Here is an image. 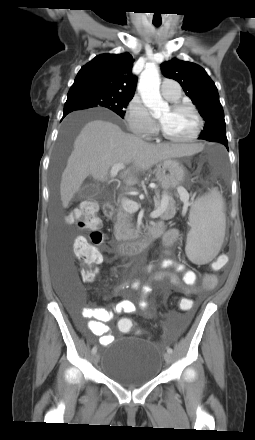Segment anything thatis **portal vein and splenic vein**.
<instances>
[{
  "label": "portal vein and splenic vein",
  "instance_id": "18ae733b",
  "mask_svg": "<svg viewBox=\"0 0 255 440\" xmlns=\"http://www.w3.org/2000/svg\"><path fill=\"white\" fill-rule=\"evenodd\" d=\"M124 168H125V165L122 164V163L115 164V165L111 168L110 176H111L112 178L116 177V175L118 174V172H119L120 170L124 169ZM121 204H122L123 209H124L125 211L129 212V213H134V212L138 211V210H139V207H140V205H139L137 202H135V201H133V200H130V199H128V198H125V197L121 199ZM163 211H164V206L161 207V208H157V209H155V210L150 214V216H151V218H157V217H159V216L162 214Z\"/></svg>",
  "mask_w": 255,
  "mask_h": 440
}]
</instances>
